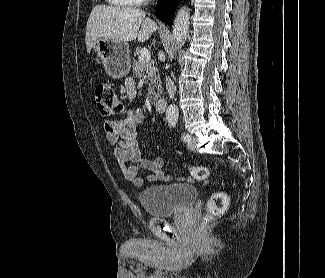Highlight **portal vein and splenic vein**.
I'll return each mask as SVG.
<instances>
[{
  "label": "portal vein and splenic vein",
  "mask_w": 325,
  "mask_h": 278,
  "mask_svg": "<svg viewBox=\"0 0 325 278\" xmlns=\"http://www.w3.org/2000/svg\"><path fill=\"white\" fill-rule=\"evenodd\" d=\"M141 61L143 63H148L151 59V54L147 48H142L140 51Z\"/></svg>",
  "instance_id": "18ae733b"
}]
</instances>
